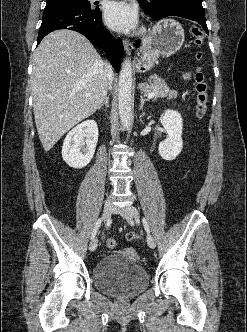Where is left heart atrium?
Here are the masks:
<instances>
[{
    "label": "left heart atrium",
    "mask_w": 247,
    "mask_h": 332,
    "mask_svg": "<svg viewBox=\"0 0 247 332\" xmlns=\"http://www.w3.org/2000/svg\"><path fill=\"white\" fill-rule=\"evenodd\" d=\"M104 19L110 28L128 31L137 24L138 11L135 6L126 1H111L105 6Z\"/></svg>",
    "instance_id": "left-heart-atrium-1"
}]
</instances>
